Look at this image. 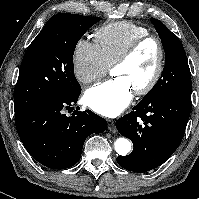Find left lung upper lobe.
<instances>
[{
  "label": "left lung upper lobe",
  "instance_id": "1",
  "mask_svg": "<svg viewBox=\"0 0 199 199\" xmlns=\"http://www.w3.org/2000/svg\"><path fill=\"white\" fill-rule=\"evenodd\" d=\"M165 50V67L160 79L139 103L158 101L175 93L191 94V73L178 37L160 20L151 18Z\"/></svg>",
  "mask_w": 199,
  "mask_h": 199
}]
</instances>
